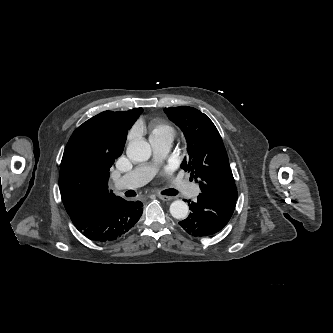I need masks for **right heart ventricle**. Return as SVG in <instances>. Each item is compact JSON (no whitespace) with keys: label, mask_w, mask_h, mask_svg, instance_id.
Wrapping results in <instances>:
<instances>
[{"label":"right heart ventricle","mask_w":333,"mask_h":333,"mask_svg":"<svg viewBox=\"0 0 333 333\" xmlns=\"http://www.w3.org/2000/svg\"><path fill=\"white\" fill-rule=\"evenodd\" d=\"M165 135L174 137L173 127L165 122L155 123L151 130V137L152 136H165Z\"/></svg>","instance_id":"right-heart-ventricle-1"}]
</instances>
